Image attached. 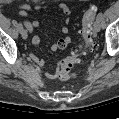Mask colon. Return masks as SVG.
<instances>
[{
  "mask_svg": "<svg viewBox=\"0 0 119 119\" xmlns=\"http://www.w3.org/2000/svg\"><path fill=\"white\" fill-rule=\"evenodd\" d=\"M97 8L91 5L83 14L80 34L84 40V46L79 50H74L67 57L59 62L58 78L60 80H69L75 77L71 69L80 61L82 55L92 47V23L95 18Z\"/></svg>",
  "mask_w": 119,
  "mask_h": 119,
  "instance_id": "5ec220e1",
  "label": "colon"
}]
</instances>
